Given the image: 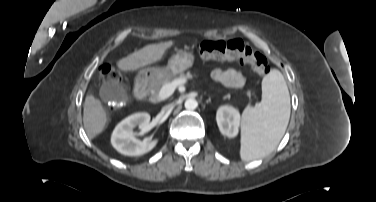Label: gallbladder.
<instances>
[{
  "label": "gallbladder",
  "instance_id": "bac80fb5",
  "mask_svg": "<svg viewBox=\"0 0 376 202\" xmlns=\"http://www.w3.org/2000/svg\"><path fill=\"white\" fill-rule=\"evenodd\" d=\"M100 97L104 102L124 101L125 90L114 81H107L100 87Z\"/></svg>",
  "mask_w": 376,
  "mask_h": 202
}]
</instances>
